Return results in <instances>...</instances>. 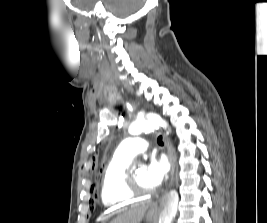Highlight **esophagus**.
Here are the masks:
<instances>
[{"mask_svg":"<svg viewBox=\"0 0 267 223\" xmlns=\"http://www.w3.org/2000/svg\"><path fill=\"white\" fill-rule=\"evenodd\" d=\"M163 141H164L165 147L167 149V155H168V158H169V161H170V164H171V172H170V175H171V181H173V179H174V172H175L174 149H173V146H172L169 138L165 134H163ZM156 210H157V204H154L152 206L151 212H155Z\"/></svg>","mask_w":267,"mask_h":223,"instance_id":"obj_1","label":"esophagus"}]
</instances>
